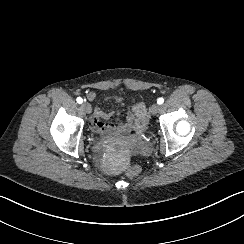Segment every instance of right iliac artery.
I'll return each instance as SVG.
<instances>
[{
	"label": "right iliac artery",
	"mask_w": 244,
	"mask_h": 244,
	"mask_svg": "<svg viewBox=\"0 0 244 244\" xmlns=\"http://www.w3.org/2000/svg\"><path fill=\"white\" fill-rule=\"evenodd\" d=\"M76 100H77V102H78L79 104H81V103L83 102V99H82L81 97H78Z\"/></svg>",
	"instance_id": "82829eb1"
}]
</instances>
